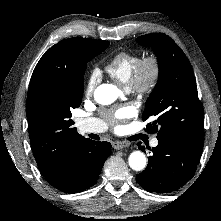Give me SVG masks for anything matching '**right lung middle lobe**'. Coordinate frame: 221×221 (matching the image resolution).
<instances>
[{
	"mask_svg": "<svg viewBox=\"0 0 221 221\" xmlns=\"http://www.w3.org/2000/svg\"><path fill=\"white\" fill-rule=\"evenodd\" d=\"M109 46L108 41L87 39L77 53V69L63 75L39 102V112L50 118L57 114L71 118L70 110L80 106L84 91L83 75L86 64Z\"/></svg>",
	"mask_w": 221,
	"mask_h": 221,
	"instance_id": "right-lung-middle-lobe-1",
	"label": "right lung middle lobe"
}]
</instances>
